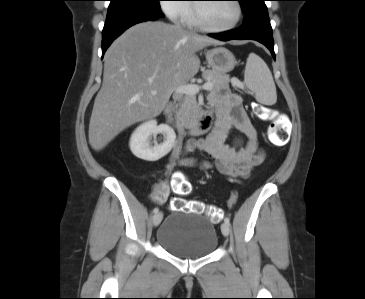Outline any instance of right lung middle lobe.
<instances>
[{
  "label": "right lung middle lobe",
  "mask_w": 365,
  "mask_h": 299,
  "mask_svg": "<svg viewBox=\"0 0 365 299\" xmlns=\"http://www.w3.org/2000/svg\"><path fill=\"white\" fill-rule=\"evenodd\" d=\"M160 0H110L108 13H116L129 8H154L161 9Z\"/></svg>",
  "instance_id": "dd1d6c3e"
}]
</instances>
